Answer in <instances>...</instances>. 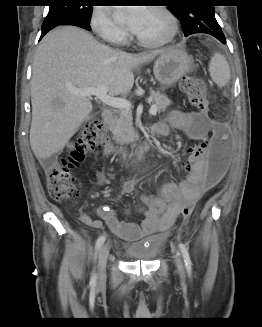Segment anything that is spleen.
Returning <instances> with one entry per match:
<instances>
[{
  "label": "spleen",
  "mask_w": 262,
  "mask_h": 327,
  "mask_svg": "<svg viewBox=\"0 0 262 327\" xmlns=\"http://www.w3.org/2000/svg\"><path fill=\"white\" fill-rule=\"evenodd\" d=\"M209 73L218 87H223L229 82L231 78L230 67L225 57L220 53H215L213 57H211Z\"/></svg>",
  "instance_id": "3e777b00"
}]
</instances>
